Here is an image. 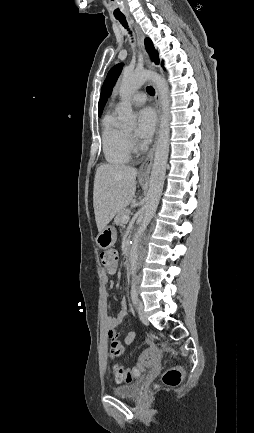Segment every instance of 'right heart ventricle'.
Masks as SVG:
<instances>
[{
	"label": "right heart ventricle",
	"instance_id": "1",
	"mask_svg": "<svg viewBox=\"0 0 254 433\" xmlns=\"http://www.w3.org/2000/svg\"><path fill=\"white\" fill-rule=\"evenodd\" d=\"M102 150L105 160L113 165H122L131 158V146L126 131L117 125L112 113L102 122Z\"/></svg>",
	"mask_w": 254,
	"mask_h": 433
}]
</instances>
